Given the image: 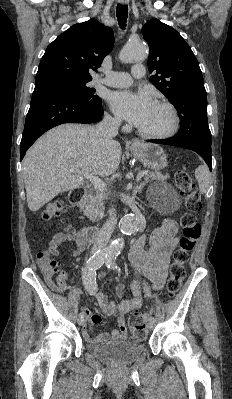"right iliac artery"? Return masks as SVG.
Listing matches in <instances>:
<instances>
[{
	"label": "right iliac artery",
	"instance_id": "1",
	"mask_svg": "<svg viewBox=\"0 0 232 399\" xmlns=\"http://www.w3.org/2000/svg\"><path fill=\"white\" fill-rule=\"evenodd\" d=\"M105 258V255H92L82 268V281L90 295H96L98 292L96 270L104 264ZM79 317L83 318V314H80Z\"/></svg>",
	"mask_w": 232,
	"mask_h": 399
}]
</instances>
